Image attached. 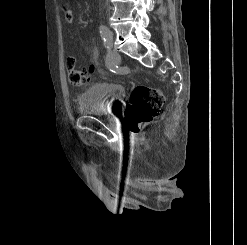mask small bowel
I'll list each match as a JSON object with an SVG mask.
<instances>
[{
	"instance_id": "1",
	"label": "small bowel",
	"mask_w": 247,
	"mask_h": 245,
	"mask_svg": "<svg viewBox=\"0 0 247 245\" xmlns=\"http://www.w3.org/2000/svg\"><path fill=\"white\" fill-rule=\"evenodd\" d=\"M64 13L66 16V20L71 23L73 21V13H72L71 9L68 7H65Z\"/></svg>"
}]
</instances>
